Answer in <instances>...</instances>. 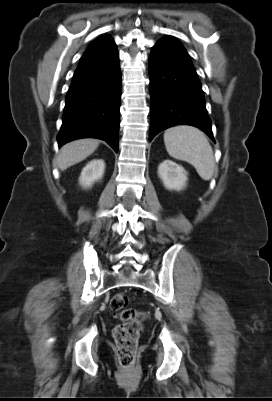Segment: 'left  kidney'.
Wrapping results in <instances>:
<instances>
[{
  "label": "left kidney",
  "instance_id": "5707ae66",
  "mask_svg": "<svg viewBox=\"0 0 272 401\" xmlns=\"http://www.w3.org/2000/svg\"><path fill=\"white\" fill-rule=\"evenodd\" d=\"M158 175L168 190H182L188 179L184 168L171 160H164L159 165Z\"/></svg>",
  "mask_w": 272,
  "mask_h": 401
}]
</instances>
